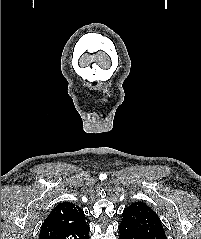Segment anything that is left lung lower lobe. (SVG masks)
<instances>
[{"label": "left lung lower lobe", "mask_w": 201, "mask_h": 239, "mask_svg": "<svg viewBox=\"0 0 201 239\" xmlns=\"http://www.w3.org/2000/svg\"><path fill=\"white\" fill-rule=\"evenodd\" d=\"M120 237L119 239H147L144 235L133 229L132 227L120 224L119 227Z\"/></svg>", "instance_id": "obj_1"}]
</instances>
